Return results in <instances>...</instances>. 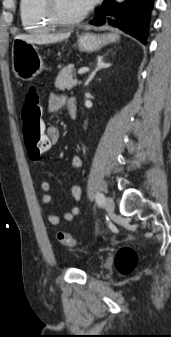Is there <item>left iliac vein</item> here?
Returning a JSON list of instances; mask_svg holds the SVG:
<instances>
[{
    "mask_svg": "<svg viewBox=\"0 0 171 337\" xmlns=\"http://www.w3.org/2000/svg\"><path fill=\"white\" fill-rule=\"evenodd\" d=\"M104 206L107 212H113L114 211V201L111 197H107L104 202Z\"/></svg>",
    "mask_w": 171,
    "mask_h": 337,
    "instance_id": "left-iliac-vein-1",
    "label": "left iliac vein"
}]
</instances>
